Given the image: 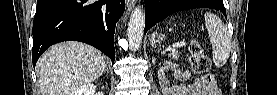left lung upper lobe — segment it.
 I'll return each instance as SVG.
<instances>
[{
  "label": "left lung upper lobe",
  "mask_w": 277,
  "mask_h": 95,
  "mask_svg": "<svg viewBox=\"0 0 277 95\" xmlns=\"http://www.w3.org/2000/svg\"><path fill=\"white\" fill-rule=\"evenodd\" d=\"M179 5L184 7H189V8H195L199 6V4L197 3V0H180Z\"/></svg>",
  "instance_id": "1"
}]
</instances>
